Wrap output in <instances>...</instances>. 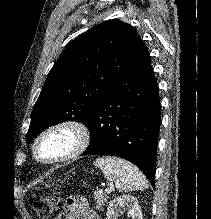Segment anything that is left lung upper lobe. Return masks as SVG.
Segmentation results:
<instances>
[{"instance_id":"obj_1","label":"left lung upper lobe","mask_w":211,"mask_h":219,"mask_svg":"<svg viewBox=\"0 0 211 219\" xmlns=\"http://www.w3.org/2000/svg\"><path fill=\"white\" fill-rule=\"evenodd\" d=\"M144 47L135 29L119 20L104 21L70 42L36 101L27 142L60 122L86 124L104 94Z\"/></svg>"}]
</instances>
